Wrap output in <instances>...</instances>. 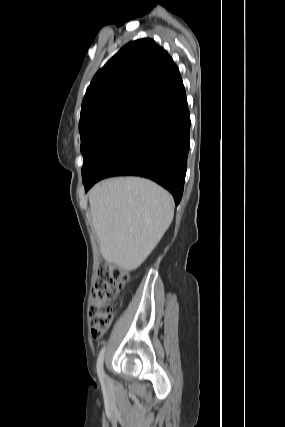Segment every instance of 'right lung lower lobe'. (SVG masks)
<instances>
[{
	"mask_svg": "<svg viewBox=\"0 0 285 427\" xmlns=\"http://www.w3.org/2000/svg\"><path fill=\"white\" fill-rule=\"evenodd\" d=\"M190 115L179 80L154 97L84 182L88 190L100 179L117 175L149 178L170 191L179 204L190 146Z\"/></svg>",
	"mask_w": 285,
	"mask_h": 427,
	"instance_id": "right-lung-lower-lobe-1",
	"label": "right lung lower lobe"
}]
</instances>
